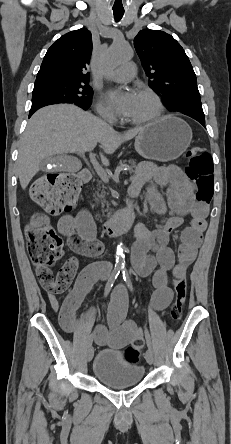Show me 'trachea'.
Listing matches in <instances>:
<instances>
[{
	"instance_id": "obj_1",
	"label": "trachea",
	"mask_w": 231,
	"mask_h": 444,
	"mask_svg": "<svg viewBox=\"0 0 231 444\" xmlns=\"http://www.w3.org/2000/svg\"><path fill=\"white\" fill-rule=\"evenodd\" d=\"M113 14L115 21L118 22L123 17L124 10H113Z\"/></svg>"
}]
</instances>
